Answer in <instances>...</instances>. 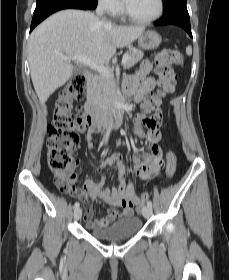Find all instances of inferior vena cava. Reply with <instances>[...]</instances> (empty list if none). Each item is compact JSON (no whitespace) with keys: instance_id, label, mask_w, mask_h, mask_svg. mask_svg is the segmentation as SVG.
Wrapping results in <instances>:
<instances>
[{"instance_id":"obj_1","label":"inferior vena cava","mask_w":229,"mask_h":280,"mask_svg":"<svg viewBox=\"0 0 229 280\" xmlns=\"http://www.w3.org/2000/svg\"><path fill=\"white\" fill-rule=\"evenodd\" d=\"M105 10V5L103 2H99L97 9H96V14L98 16H103Z\"/></svg>"}]
</instances>
